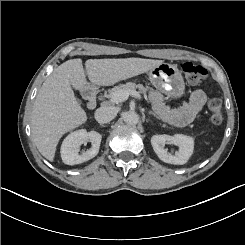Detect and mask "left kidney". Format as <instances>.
Instances as JSON below:
<instances>
[{"label":"left kidney","instance_id":"left-kidney-1","mask_svg":"<svg viewBox=\"0 0 245 245\" xmlns=\"http://www.w3.org/2000/svg\"><path fill=\"white\" fill-rule=\"evenodd\" d=\"M165 144H174L179 147V150L174 155L168 153ZM151 145L159 157L165 163L183 165L185 164L194 150V139L183 134L170 135H154L151 138Z\"/></svg>","mask_w":245,"mask_h":245}]
</instances>
